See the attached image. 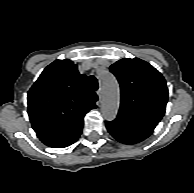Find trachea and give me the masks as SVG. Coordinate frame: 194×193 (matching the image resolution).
I'll use <instances>...</instances> for the list:
<instances>
[{
    "label": "trachea",
    "mask_w": 194,
    "mask_h": 193,
    "mask_svg": "<svg viewBox=\"0 0 194 193\" xmlns=\"http://www.w3.org/2000/svg\"><path fill=\"white\" fill-rule=\"evenodd\" d=\"M88 86L96 91L98 89V81L97 79L95 78V76L91 75L89 78H88Z\"/></svg>",
    "instance_id": "1"
}]
</instances>
